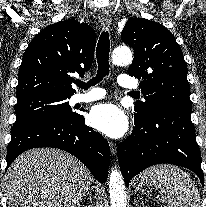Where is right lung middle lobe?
<instances>
[{
  "mask_svg": "<svg viewBox=\"0 0 206 207\" xmlns=\"http://www.w3.org/2000/svg\"><path fill=\"white\" fill-rule=\"evenodd\" d=\"M70 97L71 95L43 93L17 99L14 126L41 118L75 115L67 101Z\"/></svg>",
  "mask_w": 206,
  "mask_h": 207,
  "instance_id": "1",
  "label": "right lung middle lobe"
}]
</instances>
